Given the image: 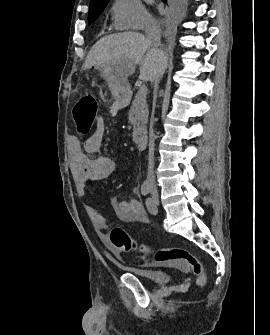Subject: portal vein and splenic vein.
<instances>
[{
  "label": "portal vein and splenic vein",
  "instance_id": "1",
  "mask_svg": "<svg viewBox=\"0 0 270 335\" xmlns=\"http://www.w3.org/2000/svg\"><path fill=\"white\" fill-rule=\"evenodd\" d=\"M147 91H148V88H147V86H140V88H138L137 89V96H136V99L138 100V101H141L142 99H143V94L144 93H147Z\"/></svg>",
  "mask_w": 270,
  "mask_h": 335
}]
</instances>
